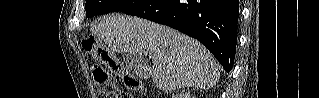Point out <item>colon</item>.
<instances>
[{"instance_id": "colon-1", "label": "colon", "mask_w": 319, "mask_h": 98, "mask_svg": "<svg viewBox=\"0 0 319 98\" xmlns=\"http://www.w3.org/2000/svg\"><path fill=\"white\" fill-rule=\"evenodd\" d=\"M82 44L86 50L91 51L95 58L108 66L111 71V73L107 72L98 64H94L90 68L94 82L103 96L113 98L131 97L130 94L122 93L117 89L116 78L121 79L128 90L138 93L143 92L140 79L117 62L111 52L99 44L94 36L85 37Z\"/></svg>"}]
</instances>
